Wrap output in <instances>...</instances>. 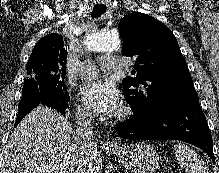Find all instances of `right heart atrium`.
Segmentation results:
<instances>
[{"label": "right heart atrium", "instance_id": "d8ad5b80", "mask_svg": "<svg viewBox=\"0 0 219 173\" xmlns=\"http://www.w3.org/2000/svg\"><path fill=\"white\" fill-rule=\"evenodd\" d=\"M76 112L82 120H90L91 118L89 111L82 105H77Z\"/></svg>", "mask_w": 219, "mask_h": 173}]
</instances>
